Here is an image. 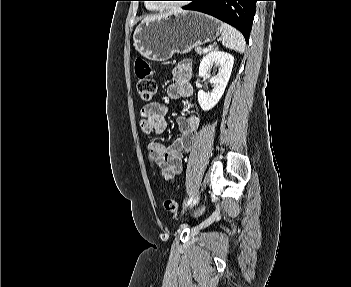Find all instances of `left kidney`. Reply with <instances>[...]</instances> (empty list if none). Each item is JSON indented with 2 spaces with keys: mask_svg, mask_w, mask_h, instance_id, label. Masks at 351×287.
<instances>
[{
  "mask_svg": "<svg viewBox=\"0 0 351 287\" xmlns=\"http://www.w3.org/2000/svg\"><path fill=\"white\" fill-rule=\"evenodd\" d=\"M233 64L234 57L223 51H211L203 57L199 66L200 77L208 75L213 65L219 67L217 75L210 79L212 91L205 93L200 90L198 92V103L204 111L212 109L221 99L231 76Z\"/></svg>",
  "mask_w": 351,
  "mask_h": 287,
  "instance_id": "obj_1",
  "label": "left kidney"
}]
</instances>
